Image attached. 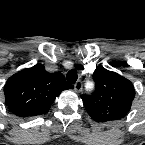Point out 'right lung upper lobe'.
I'll return each mask as SVG.
<instances>
[{"label": "right lung upper lobe", "instance_id": "obj_1", "mask_svg": "<svg viewBox=\"0 0 145 145\" xmlns=\"http://www.w3.org/2000/svg\"><path fill=\"white\" fill-rule=\"evenodd\" d=\"M73 88L62 73H49L42 64L11 76L5 86V103L15 115L34 117L49 111L55 98L63 91Z\"/></svg>", "mask_w": 145, "mask_h": 145}]
</instances>
